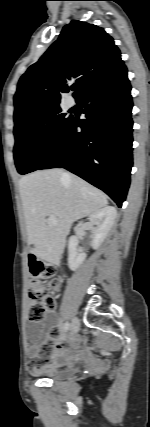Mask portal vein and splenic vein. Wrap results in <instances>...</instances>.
I'll use <instances>...</instances> for the list:
<instances>
[{"label":"portal vein and splenic vein","instance_id":"obj_1","mask_svg":"<svg viewBox=\"0 0 150 427\" xmlns=\"http://www.w3.org/2000/svg\"><path fill=\"white\" fill-rule=\"evenodd\" d=\"M48 222L51 226H55L57 224V219L54 215H50L48 218Z\"/></svg>","mask_w":150,"mask_h":427}]
</instances>
